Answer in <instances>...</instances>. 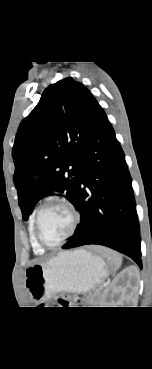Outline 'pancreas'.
Returning a JSON list of instances; mask_svg holds the SVG:
<instances>
[{"instance_id":"pancreas-1","label":"pancreas","mask_w":152,"mask_h":369,"mask_svg":"<svg viewBox=\"0 0 152 369\" xmlns=\"http://www.w3.org/2000/svg\"><path fill=\"white\" fill-rule=\"evenodd\" d=\"M101 301V294L100 292H95L89 297V304H98V302Z\"/></svg>"}]
</instances>
